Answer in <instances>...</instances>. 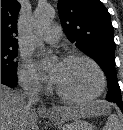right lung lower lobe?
Here are the masks:
<instances>
[{
	"label": "right lung lower lobe",
	"instance_id": "right-lung-lower-lobe-1",
	"mask_svg": "<svg viewBox=\"0 0 123 130\" xmlns=\"http://www.w3.org/2000/svg\"><path fill=\"white\" fill-rule=\"evenodd\" d=\"M1 84L13 87L17 85V79L9 78L1 75Z\"/></svg>",
	"mask_w": 123,
	"mask_h": 130
}]
</instances>
